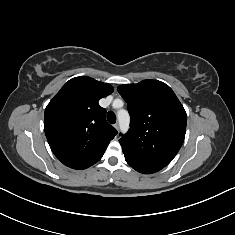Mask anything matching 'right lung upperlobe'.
<instances>
[{
	"mask_svg": "<svg viewBox=\"0 0 235 235\" xmlns=\"http://www.w3.org/2000/svg\"><path fill=\"white\" fill-rule=\"evenodd\" d=\"M113 87L93 78L75 77L64 84L45 109L44 129L55 156L73 169L98 162L117 134L98 101Z\"/></svg>",
	"mask_w": 235,
	"mask_h": 235,
	"instance_id": "1",
	"label": "right lung upper lobe"
}]
</instances>
